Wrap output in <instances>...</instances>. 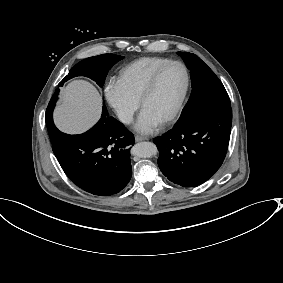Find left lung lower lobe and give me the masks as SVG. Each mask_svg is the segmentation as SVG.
I'll list each match as a JSON object with an SVG mask.
<instances>
[{
    "instance_id": "obj_1",
    "label": "left lung lower lobe",
    "mask_w": 283,
    "mask_h": 283,
    "mask_svg": "<svg viewBox=\"0 0 283 283\" xmlns=\"http://www.w3.org/2000/svg\"><path fill=\"white\" fill-rule=\"evenodd\" d=\"M232 124V109L202 111L154 139L160 152L158 166L171 182L183 187L202 184L225 158Z\"/></svg>"
}]
</instances>
